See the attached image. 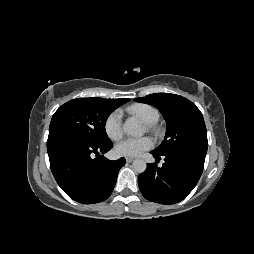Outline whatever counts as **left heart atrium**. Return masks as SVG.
I'll use <instances>...</instances> for the list:
<instances>
[{
  "label": "left heart atrium",
  "instance_id": "39dd6f15",
  "mask_svg": "<svg viewBox=\"0 0 254 254\" xmlns=\"http://www.w3.org/2000/svg\"><path fill=\"white\" fill-rule=\"evenodd\" d=\"M152 145V140L148 137L127 138L117 145L116 152L121 156H138Z\"/></svg>",
  "mask_w": 254,
  "mask_h": 254
}]
</instances>
